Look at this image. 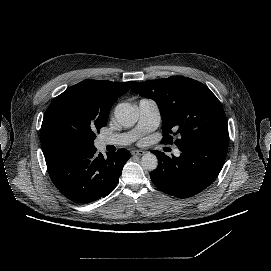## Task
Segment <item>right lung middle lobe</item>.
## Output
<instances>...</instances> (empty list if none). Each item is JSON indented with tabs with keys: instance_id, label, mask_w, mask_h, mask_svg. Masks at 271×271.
Here are the masks:
<instances>
[{
	"instance_id": "right-lung-middle-lobe-1",
	"label": "right lung middle lobe",
	"mask_w": 271,
	"mask_h": 271,
	"mask_svg": "<svg viewBox=\"0 0 271 271\" xmlns=\"http://www.w3.org/2000/svg\"><path fill=\"white\" fill-rule=\"evenodd\" d=\"M105 125L83 114L73 98H55L46 110L41 126L43 153L93 147L95 132Z\"/></svg>"
}]
</instances>
